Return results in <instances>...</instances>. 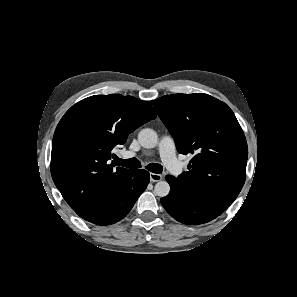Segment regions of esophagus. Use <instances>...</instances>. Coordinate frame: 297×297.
<instances>
[{"mask_svg": "<svg viewBox=\"0 0 297 297\" xmlns=\"http://www.w3.org/2000/svg\"><path fill=\"white\" fill-rule=\"evenodd\" d=\"M160 180H162V176L160 174L150 173V181L151 182H158Z\"/></svg>", "mask_w": 297, "mask_h": 297, "instance_id": "1", "label": "esophagus"}]
</instances>
